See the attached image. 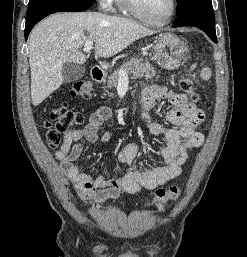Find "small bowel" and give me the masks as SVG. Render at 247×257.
Listing matches in <instances>:
<instances>
[{"mask_svg":"<svg viewBox=\"0 0 247 257\" xmlns=\"http://www.w3.org/2000/svg\"><path fill=\"white\" fill-rule=\"evenodd\" d=\"M158 99H166L171 103L172 108L165 115V120L174 125V128H166L158 122L149 120L148 111ZM141 104V118L150 132L155 135L163 134L166 139V144L159 149L164 161L161 166L135 169L133 163L139 148L137 144L130 142L125 144L118 154V160L128 166L127 172L120 178L92 176L80 171L76 161L85 147L82 140L88 143L98 140L104 123L112 117L110 108L102 107L94 111L82 129L65 130L63 142L54 152V157L60 162L82 201L94 199L96 203H104L122 193L136 194L142 189L153 190L163 186L181 174L182 165L188 159L189 153L203 144L204 135L197 127L204 121L205 114L196 108L185 94L161 85H149L142 92ZM109 138L110 132L104 130L100 137L101 141L106 142Z\"/></svg>","mask_w":247,"mask_h":257,"instance_id":"obj_1","label":"small bowel"}]
</instances>
